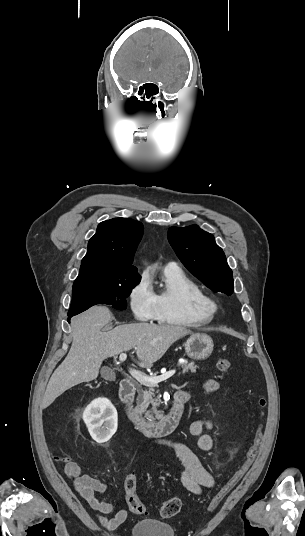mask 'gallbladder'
<instances>
[{
    "label": "gallbladder",
    "mask_w": 305,
    "mask_h": 536,
    "mask_svg": "<svg viewBox=\"0 0 305 536\" xmlns=\"http://www.w3.org/2000/svg\"><path fill=\"white\" fill-rule=\"evenodd\" d=\"M101 376L104 378V380H115V374L111 368H107V366H104V368H101Z\"/></svg>",
    "instance_id": "bac80fb5"
}]
</instances>
